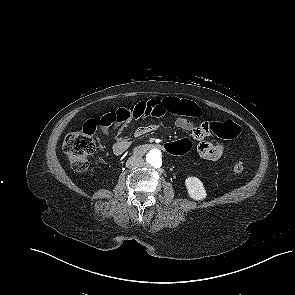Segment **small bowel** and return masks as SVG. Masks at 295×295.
Instances as JSON below:
<instances>
[{"label":"small bowel","mask_w":295,"mask_h":295,"mask_svg":"<svg viewBox=\"0 0 295 295\" xmlns=\"http://www.w3.org/2000/svg\"><path fill=\"white\" fill-rule=\"evenodd\" d=\"M179 100L180 99L174 97L140 99L128 106L120 107L117 110L106 113L100 117V128L104 134L111 135L117 133L112 145L113 153L116 155H122L131 146V138L122 135V130L126 124L143 117L150 116L153 118H161L166 114L173 113L177 115L175 120L176 126L182 130L190 132L191 136L199 141L197 146L199 156L207 161L218 160L224 152V147L222 144H214L206 140L211 133L210 123L202 122L199 125H196L184 116L179 115L175 110V105ZM168 126V120H160L159 122L142 125L134 130L133 137L140 138L157 130L159 127Z\"/></svg>","instance_id":"small-bowel-1"}]
</instances>
